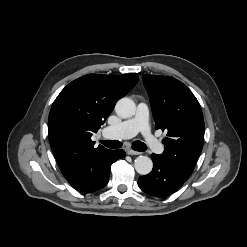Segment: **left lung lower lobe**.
Masks as SVG:
<instances>
[{"mask_svg": "<svg viewBox=\"0 0 247 247\" xmlns=\"http://www.w3.org/2000/svg\"><path fill=\"white\" fill-rule=\"evenodd\" d=\"M151 158L152 172L138 179L140 189L151 196L165 198L178 190L191 175L161 155L152 154Z\"/></svg>", "mask_w": 247, "mask_h": 247, "instance_id": "obj_1", "label": "left lung lower lobe"}]
</instances>
